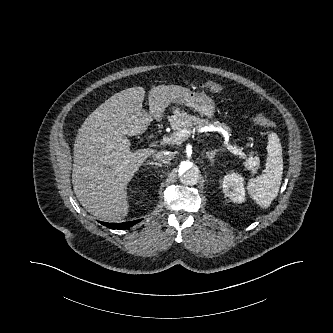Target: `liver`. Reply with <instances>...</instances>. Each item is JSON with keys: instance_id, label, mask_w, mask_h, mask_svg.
I'll return each mask as SVG.
<instances>
[{"instance_id": "1", "label": "liver", "mask_w": 333, "mask_h": 333, "mask_svg": "<svg viewBox=\"0 0 333 333\" xmlns=\"http://www.w3.org/2000/svg\"><path fill=\"white\" fill-rule=\"evenodd\" d=\"M189 89L159 85L149 91V114L142 110L143 87L122 90L96 108L79 129L74 144L73 189L82 206L105 221H120L129 212L127 184L154 150L130 151V140L160 119L168 105Z\"/></svg>"}]
</instances>
